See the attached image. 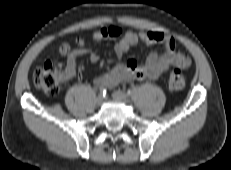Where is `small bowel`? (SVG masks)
<instances>
[{
	"label": "small bowel",
	"mask_w": 231,
	"mask_h": 170,
	"mask_svg": "<svg viewBox=\"0 0 231 170\" xmlns=\"http://www.w3.org/2000/svg\"><path fill=\"white\" fill-rule=\"evenodd\" d=\"M121 36L115 45V53L118 59L117 64L107 73L95 78L96 86L114 87L122 82H131L134 80L150 79L156 80L164 72L168 71L172 66L187 68L191 64L190 58L177 49L176 41L173 37L165 35L161 32L142 31L124 32L118 26L102 27L92 34L95 42L107 39H113ZM159 45L163 48L161 54L151 52L145 63L140 65L133 59L123 62V56L128 50L138 44ZM67 62L64 69V77L62 81H68L75 77L77 70V61L83 55L88 54L91 62L96 63L99 60L98 54L85 48L84 39L80 36L76 37V47L68 49Z\"/></svg>",
	"instance_id": "c3829d8e"
}]
</instances>
